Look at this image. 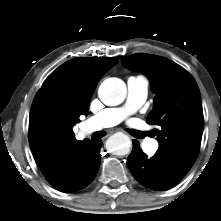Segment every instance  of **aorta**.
<instances>
[{"label":"aorta","instance_id":"aorta-1","mask_svg":"<svg viewBox=\"0 0 221 221\" xmlns=\"http://www.w3.org/2000/svg\"><path fill=\"white\" fill-rule=\"evenodd\" d=\"M126 84L119 78L104 80L98 90L100 100L108 106L121 104L126 97ZM107 148L116 155H126L131 148L130 138L119 132L112 135L107 141Z\"/></svg>","mask_w":221,"mask_h":221}]
</instances>
